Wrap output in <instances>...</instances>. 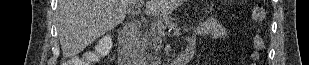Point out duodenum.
Here are the masks:
<instances>
[{"label":"duodenum","mask_w":309,"mask_h":65,"mask_svg":"<svg viewBox=\"0 0 309 65\" xmlns=\"http://www.w3.org/2000/svg\"><path fill=\"white\" fill-rule=\"evenodd\" d=\"M139 26L135 23L129 25L119 37L118 42V64L119 65H133L131 62V49L134 44L135 38L138 34ZM194 48L188 46L184 51L177 57L174 65H186L192 58Z\"/></svg>","instance_id":"410a0bca"}]
</instances>
